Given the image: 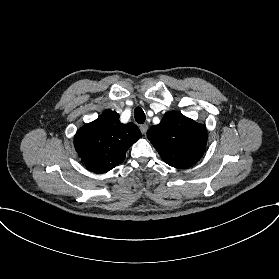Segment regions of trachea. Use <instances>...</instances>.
<instances>
[{
  "label": "trachea",
  "mask_w": 279,
  "mask_h": 279,
  "mask_svg": "<svg viewBox=\"0 0 279 279\" xmlns=\"http://www.w3.org/2000/svg\"><path fill=\"white\" fill-rule=\"evenodd\" d=\"M134 117L136 122L139 124H143L146 119V116L141 108H136L134 110Z\"/></svg>",
  "instance_id": "1"
}]
</instances>
